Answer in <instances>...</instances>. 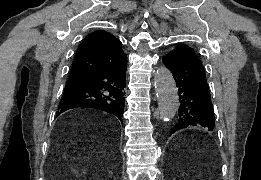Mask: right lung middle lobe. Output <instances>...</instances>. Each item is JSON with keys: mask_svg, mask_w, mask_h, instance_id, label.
I'll list each match as a JSON object with an SVG mask.
<instances>
[{"mask_svg": "<svg viewBox=\"0 0 261 180\" xmlns=\"http://www.w3.org/2000/svg\"><path fill=\"white\" fill-rule=\"evenodd\" d=\"M77 85H78L77 83H66L64 93L75 89Z\"/></svg>", "mask_w": 261, "mask_h": 180, "instance_id": "obj_1", "label": "right lung middle lobe"}]
</instances>
